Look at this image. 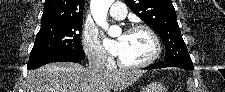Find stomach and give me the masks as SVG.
<instances>
[{
	"label": "stomach",
	"instance_id": "1",
	"mask_svg": "<svg viewBox=\"0 0 225 92\" xmlns=\"http://www.w3.org/2000/svg\"><path fill=\"white\" fill-rule=\"evenodd\" d=\"M142 92H166V89L160 83L154 82L147 85Z\"/></svg>",
	"mask_w": 225,
	"mask_h": 92
}]
</instances>
